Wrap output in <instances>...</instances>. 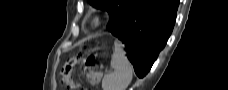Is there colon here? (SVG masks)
<instances>
[{
	"mask_svg": "<svg viewBox=\"0 0 228 90\" xmlns=\"http://www.w3.org/2000/svg\"><path fill=\"white\" fill-rule=\"evenodd\" d=\"M79 64H84L87 68H90L95 64L94 55L90 54V55L84 56L82 54H79L70 58L66 62V64L62 68L61 75H62V81L67 90L80 89V85L75 83L72 79V71Z\"/></svg>",
	"mask_w": 228,
	"mask_h": 90,
	"instance_id": "5ec220e1",
	"label": "colon"
}]
</instances>
